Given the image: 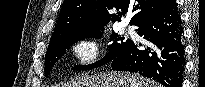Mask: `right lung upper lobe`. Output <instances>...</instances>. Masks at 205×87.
Here are the masks:
<instances>
[{"label": "right lung upper lobe", "mask_w": 205, "mask_h": 87, "mask_svg": "<svg viewBox=\"0 0 205 87\" xmlns=\"http://www.w3.org/2000/svg\"><path fill=\"white\" fill-rule=\"evenodd\" d=\"M172 0H64L50 44L71 33L103 29L113 19L121 21L126 12L134 13L130 25L166 7ZM117 13H112L113 11Z\"/></svg>", "instance_id": "1"}]
</instances>
